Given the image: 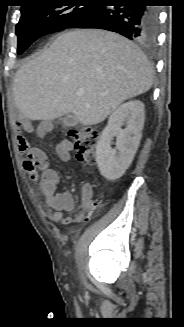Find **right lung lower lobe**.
<instances>
[{
	"label": "right lung lower lobe",
	"mask_w": 184,
	"mask_h": 327,
	"mask_svg": "<svg viewBox=\"0 0 184 327\" xmlns=\"http://www.w3.org/2000/svg\"><path fill=\"white\" fill-rule=\"evenodd\" d=\"M145 0H126L124 6H94L72 28H97L117 32L131 40L151 45L158 33V12L144 6Z\"/></svg>",
	"instance_id": "1"
}]
</instances>
